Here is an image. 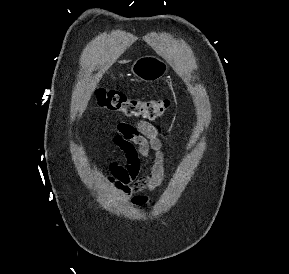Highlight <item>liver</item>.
I'll use <instances>...</instances> for the list:
<instances>
[{"mask_svg":"<svg viewBox=\"0 0 289 274\" xmlns=\"http://www.w3.org/2000/svg\"><path fill=\"white\" fill-rule=\"evenodd\" d=\"M121 63H126V61H120Z\"/></svg>","mask_w":289,"mask_h":274,"instance_id":"obj_1","label":"liver"}]
</instances>
